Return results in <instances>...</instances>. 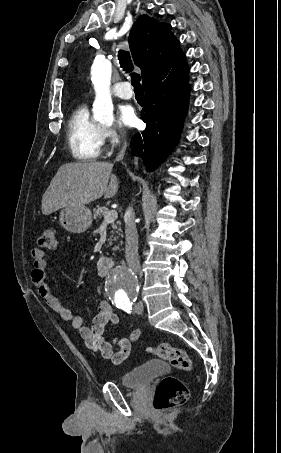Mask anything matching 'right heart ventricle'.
Masks as SVG:
<instances>
[{
	"instance_id": "e07e8e85",
	"label": "right heart ventricle",
	"mask_w": 281,
	"mask_h": 453,
	"mask_svg": "<svg viewBox=\"0 0 281 453\" xmlns=\"http://www.w3.org/2000/svg\"><path fill=\"white\" fill-rule=\"evenodd\" d=\"M104 127L91 116L88 104H80L68 119L67 132L72 154L79 160H96L105 142Z\"/></svg>"
}]
</instances>
